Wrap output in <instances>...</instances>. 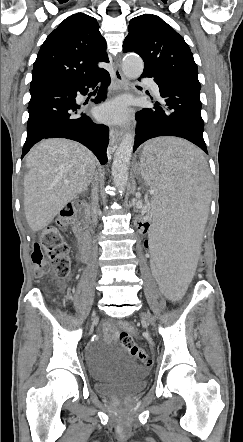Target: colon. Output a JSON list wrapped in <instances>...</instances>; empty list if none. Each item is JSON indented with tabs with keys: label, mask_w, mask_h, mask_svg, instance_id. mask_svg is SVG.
<instances>
[{
	"label": "colon",
	"mask_w": 243,
	"mask_h": 442,
	"mask_svg": "<svg viewBox=\"0 0 243 442\" xmlns=\"http://www.w3.org/2000/svg\"><path fill=\"white\" fill-rule=\"evenodd\" d=\"M77 209V204H67L63 206L59 213L58 224L62 227L69 226L77 213ZM131 227L135 229L136 233L140 234L143 246L148 248L150 246L151 234L150 222L146 220L145 216H136L135 222L131 224ZM45 256L51 261V266L56 276L65 278L69 275L71 270L69 246L55 227H47L44 229L40 241L33 247L31 259L37 277H42L48 272L49 263ZM207 260V255H199L196 260L195 269L198 271L204 270V264ZM118 338L121 345L129 351L132 357L141 362L142 365L148 366L154 363V358L149 356L144 348L138 346L129 333L121 332Z\"/></svg>",
	"instance_id": "1"
}]
</instances>
